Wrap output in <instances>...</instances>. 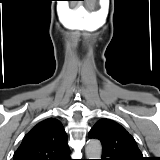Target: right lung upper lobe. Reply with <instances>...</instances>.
<instances>
[{
  "instance_id": "obj_1",
  "label": "right lung upper lobe",
  "mask_w": 160,
  "mask_h": 160,
  "mask_svg": "<svg viewBox=\"0 0 160 160\" xmlns=\"http://www.w3.org/2000/svg\"><path fill=\"white\" fill-rule=\"evenodd\" d=\"M69 154L63 125L57 119L48 118L25 135L13 160H67Z\"/></svg>"
}]
</instances>
